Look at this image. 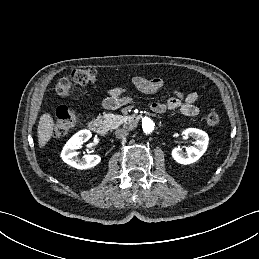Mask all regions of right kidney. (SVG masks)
<instances>
[{
	"label": "right kidney",
	"instance_id": "ca27d5eb",
	"mask_svg": "<svg viewBox=\"0 0 259 259\" xmlns=\"http://www.w3.org/2000/svg\"><path fill=\"white\" fill-rule=\"evenodd\" d=\"M92 134L89 130H80L74 134L65 144L61 152L62 160L68 165L77 169H88L96 166L101 161L99 155H84L79 159L77 149L91 138Z\"/></svg>",
	"mask_w": 259,
	"mask_h": 259
}]
</instances>
